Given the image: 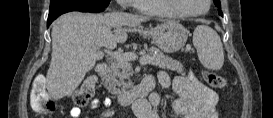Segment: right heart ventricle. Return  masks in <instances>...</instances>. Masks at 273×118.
<instances>
[{"label":"right heart ventricle","mask_w":273,"mask_h":118,"mask_svg":"<svg viewBox=\"0 0 273 118\" xmlns=\"http://www.w3.org/2000/svg\"><path fill=\"white\" fill-rule=\"evenodd\" d=\"M136 6L139 10L146 13H155L171 17L179 16V14L173 10L165 0L139 1L136 2Z\"/></svg>","instance_id":"obj_1"}]
</instances>
